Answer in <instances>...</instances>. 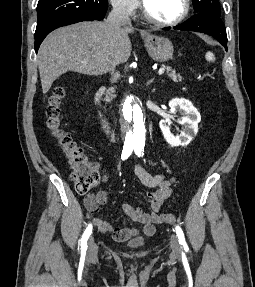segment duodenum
Here are the masks:
<instances>
[{"mask_svg": "<svg viewBox=\"0 0 255 287\" xmlns=\"http://www.w3.org/2000/svg\"><path fill=\"white\" fill-rule=\"evenodd\" d=\"M103 93V88H100L94 96L93 104H94V114L98 122L100 123L101 127L107 132H111V123L109 120L97 109V103Z\"/></svg>", "mask_w": 255, "mask_h": 287, "instance_id": "1", "label": "duodenum"}]
</instances>
